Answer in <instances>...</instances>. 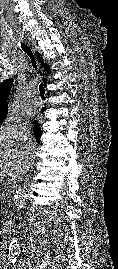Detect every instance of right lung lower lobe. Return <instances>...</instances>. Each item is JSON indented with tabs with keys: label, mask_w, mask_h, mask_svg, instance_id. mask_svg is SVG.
Returning <instances> with one entry per match:
<instances>
[{
	"label": "right lung lower lobe",
	"mask_w": 118,
	"mask_h": 269,
	"mask_svg": "<svg viewBox=\"0 0 118 269\" xmlns=\"http://www.w3.org/2000/svg\"><path fill=\"white\" fill-rule=\"evenodd\" d=\"M34 132H35V137L37 139V141H40V137H41V132L39 133L35 128H34Z\"/></svg>",
	"instance_id": "1"
}]
</instances>
